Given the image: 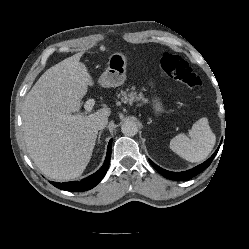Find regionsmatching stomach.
<instances>
[{"mask_svg":"<svg viewBox=\"0 0 249 249\" xmlns=\"http://www.w3.org/2000/svg\"><path fill=\"white\" fill-rule=\"evenodd\" d=\"M127 56L122 52H115L109 57L108 67L100 76L99 83L102 87H118L126 78ZM153 108L156 114L163 112L159 99H153Z\"/></svg>","mask_w":249,"mask_h":249,"instance_id":"stomach-1","label":"stomach"}]
</instances>
